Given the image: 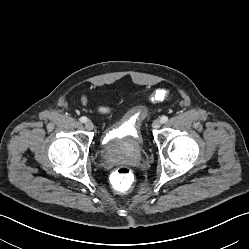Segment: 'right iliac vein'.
Wrapping results in <instances>:
<instances>
[{
	"label": "right iliac vein",
	"instance_id": "1",
	"mask_svg": "<svg viewBox=\"0 0 249 249\" xmlns=\"http://www.w3.org/2000/svg\"><path fill=\"white\" fill-rule=\"evenodd\" d=\"M85 128L88 130V131H91L94 129V124L91 122V121H87L85 123Z\"/></svg>",
	"mask_w": 249,
	"mask_h": 249
}]
</instances>
